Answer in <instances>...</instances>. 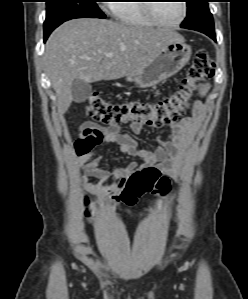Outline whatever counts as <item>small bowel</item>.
Returning a JSON list of instances; mask_svg holds the SVG:
<instances>
[{
    "instance_id": "small-bowel-1",
    "label": "small bowel",
    "mask_w": 248,
    "mask_h": 299,
    "mask_svg": "<svg viewBox=\"0 0 248 299\" xmlns=\"http://www.w3.org/2000/svg\"><path fill=\"white\" fill-rule=\"evenodd\" d=\"M201 113L202 104L197 102L191 115L178 122L166 123L169 132L160 137V144L154 150L139 148L137 142L127 132H121L117 125L103 128L91 121L85 122L80 139L76 143L77 158L75 161L77 166H85L87 169L86 175L82 177L84 188L102 203L118 204L121 202L119 196L121 181L127 178L136 164L132 163L113 170L99 168L101 157L92 158L95 153L94 148L106 144H113L122 153L137 157L148 166L156 167L160 174L177 178L181 171L180 160L193 140ZM146 127H152V125L144 122H132L130 125L134 134H140ZM90 177L98 179L99 182H91Z\"/></svg>"
}]
</instances>
